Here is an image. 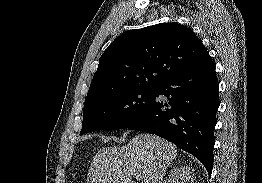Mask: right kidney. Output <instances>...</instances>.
I'll use <instances>...</instances> for the list:
<instances>
[{"instance_id": "right-kidney-1", "label": "right kidney", "mask_w": 262, "mask_h": 183, "mask_svg": "<svg viewBox=\"0 0 262 183\" xmlns=\"http://www.w3.org/2000/svg\"><path fill=\"white\" fill-rule=\"evenodd\" d=\"M194 170L192 167L184 166L173 168L165 183H193Z\"/></svg>"}]
</instances>
